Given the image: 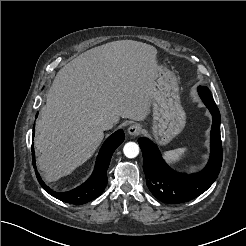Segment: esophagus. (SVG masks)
I'll return each mask as SVG.
<instances>
[{
	"label": "esophagus",
	"instance_id": "34e87169",
	"mask_svg": "<svg viewBox=\"0 0 246 246\" xmlns=\"http://www.w3.org/2000/svg\"><path fill=\"white\" fill-rule=\"evenodd\" d=\"M127 131L129 135L137 136L141 133L142 127L140 124H132Z\"/></svg>",
	"mask_w": 246,
	"mask_h": 246
}]
</instances>
